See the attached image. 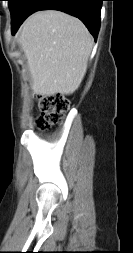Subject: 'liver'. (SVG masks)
I'll list each match as a JSON object with an SVG mask.
<instances>
[{"label": "liver", "instance_id": "1", "mask_svg": "<svg viewBox=\"0 0 133 253\" xmlns=\"http://www.w3.org/2000/svg\"><path fill=\"white\" fill-rule=\"evenodd\" d=\"M18 42L37 95H69L82 82L93 38L77 18L59 11H39L22 24Z\"/></svg>", "mask_w": 133, "mask_h": 253}]
</instances>
